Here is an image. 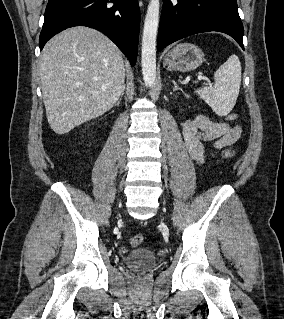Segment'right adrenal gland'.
Returning <instances> with one entry per match:
<instances>
[{
    "label": "right adrenal gland",
    "instance_id": "2a0ac1e0",
    "mask_svg": "<svg viewBox=\"0 0 284 319\" xmlns=\"http://www.w3.org/2000/svg\"><path fill=\"white\" fill-rule=\"evenodd\" d=\"M124 90H125V87L123 88V91H122V94H121V98L119 99V101L117 102V105L119 106L120 102H121V99H122V96L124 94Z\"/></svg>",
    "mask_w": 284,
    "mask_h": 319
}]
</instances>
